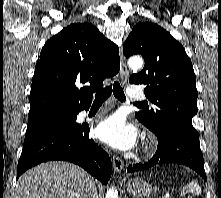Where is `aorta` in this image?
Instances as JSON below:
<instances>
[{"label":"aorta","instance_id":"1","mask_svg":"<svg viewBox=\"0 0 221 198\" xmlns=\"http://www.w3.org/2000/svg\"><path fill=\"white\" fill-rule=\"evenodd\" d=\"M128 65L133 70H138L143 66V60L139 56H135L129 59ZM105 198H118V191L115 188H109L107 190Z\"/></svg>","mask_w":221,"mask_h":198}]
</instances>
